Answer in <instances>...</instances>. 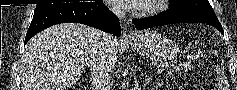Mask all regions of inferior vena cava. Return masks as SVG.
Listing matches in <instances>:
<instances>
[{
    "mask_svg": "<svg viewBox=\"0 0 237 90\" xmlns=\"http://www.w3.org/2000/svg\"><path fill=\"white\" fill-rule=\"evenodd\" d=\"M110 10L120 20L126 16L122 6H117V4H112ZM118 46L119 42L112 34L102 32L98 52L92 56L91 60H88L91 90H111L110 72L114 68Z\"/></svg>",
    "mask_w": 237,
    "mask_h": 90,
    "instance_id": "1",
    "label": "inferior vena cava"
}]
</instances>
